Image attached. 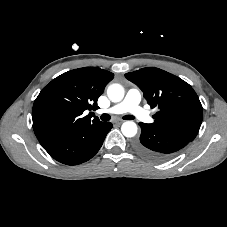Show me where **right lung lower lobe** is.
I'll list each match as a JSON object with an SVG mask.
<instances>
[{"instance_id": "98d812e1", "label": "right lung lower lobe", "mask_w": 227, "mask_h": 227, "mask_svg": "<svg viewBox=\"0 0 227 227\" xmlns=\"http://www.w3.org/2000/svg\"><path fill=\"white\" fill-rule=\"evenodd\" d=\"M111 128L110 122L80 128L45 150L51 157L63 164H81L98 152Z\"/></svg>"}]
</instances>
